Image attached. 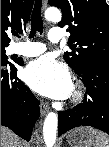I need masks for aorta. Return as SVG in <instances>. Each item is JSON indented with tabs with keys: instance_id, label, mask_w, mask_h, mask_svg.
<instances>
[{
	"instance_id": "1",
	"label": "aorta",
	"mask_w": 109,
	"mask_h": 147,
	"mask_svg": "<svg viewBox=\"0 0 109 147\" xmlns=\"http://www.w3.org/2000/svg\"><path fill=\"white\" fill-rule=\"evenodd\" d=\"M45 18L48 21L59 22L62 18V14L59 9L55 7H49L45 11ZM57 127H58L57 114L54 112H50L47 115L43 126V137L46 147H53V145L55 144Z\"/></svg>"
}]
</instances>
